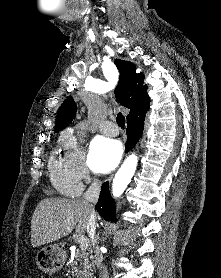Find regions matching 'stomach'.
I'll return each instance as SVG.
<instances>
[{
    "label": "stomach",
    "instance_id": "1",
    "mask_svg": "<svg viewBox=\"0 0 221 278\" xmlns=\"http://www.w3.org/2000/svg\"><path fill=\"white\" fill-rule=\"evenodd\" d=\"M65 254L58 245L42 248L36 257L38 267L48 273L59 271L65 263Z\"/></svg>",
    "mask_w": 221,
    "mask_h": 278
}]
</instances>
